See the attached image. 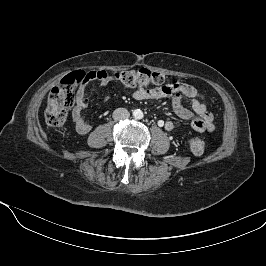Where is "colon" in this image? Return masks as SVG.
I'll use <instances>...</instances> for the list:
<instances>
[{"label":"colon","instance_id":"colon-1","mask_svg":"<svg viewBox=\"0 0 266 266\" xmlns=\"http://www.w3.org/2000/svg\"><path fill=\"white\" fill-rule=\"evenodd\" d=\"M115 78L126 87L139 85L160 86L165 82L164 76L146 68L121 71L115 74ZM88 80V75L83 71L70 73L62 78L48 96L45 109V121L47 124L61 127L66 123L68 111L74 104V90L76 86L84 84ZM187 146L193 154L200 155L204 152L205 142L202 138L194 136L188 139Z\"/></svg>","mask_w":266,"mask_h":266}]
</instances>
